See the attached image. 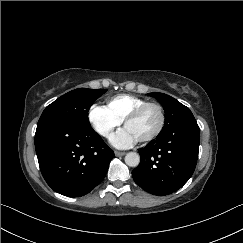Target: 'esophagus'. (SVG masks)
I'll use <instances>...</instances> for the list:
<instances>
[{
    "instance_id": "esophagus-1",
    "label": "esophagus",
    "mask_w": 243,
    "mask_h": 243,
    "mask_svg": "<svg viewBox=\"0 0 243 243\" xmlns=\"http://www.w3.org/2000/svg\"><path fill=\"white\" fill-rule=\"evenodd\" d=\"M114 154H115L116 157H119V156L125 155L126 153L125 152H120V151H115Z\"/></svg>"
}]
</instances>
